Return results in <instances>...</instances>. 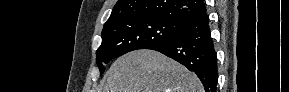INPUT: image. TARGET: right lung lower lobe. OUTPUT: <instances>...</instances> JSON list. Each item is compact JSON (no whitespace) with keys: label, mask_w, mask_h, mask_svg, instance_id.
<instances>
[{"label":"right lung lower lobe","mask_w":289,"mask_h":92,"mask_svg":"<svg viewBox=\"0 0 289 92\" xmlns=\"http://www.w3.org/2000/svg\"><path fill=\"white\" fill-rule=\"evenodd\" d=\"M148 49L161 52L194 71L205 92H216L217 58L206 13L188 21L173 38Z\"/></svg>","instance_id":"98d812e1"}]
</instances>
